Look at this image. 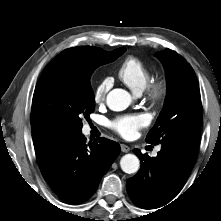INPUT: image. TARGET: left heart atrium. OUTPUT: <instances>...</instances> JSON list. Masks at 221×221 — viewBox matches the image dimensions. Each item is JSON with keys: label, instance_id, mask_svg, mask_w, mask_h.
<instances>
[{"label": "left heart atrium", "instance_id": "39dd6f15", "mask_svg": "<svg viewBox=\"0 0 221 221\" xmlns=\"http://www.w3.org/2000/svg\"><path fill=\"white\" fill-rule=\"evenodd\" d=\"M148 118L143 114L126 115L111 122L110 126L124 138L134 137L138 130L148 124Z\"/></svg>", "mask_w": 221, "mask_h": 221}]
</instances>
